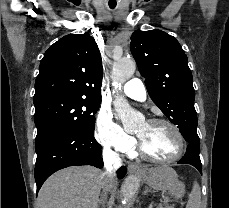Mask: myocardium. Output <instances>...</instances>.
Masks as SVG:
<instances>
[{
    "label": "myocardium",
    "mask_w": 229,
    "mask_h": 208,
    "mask_svg": "<svg viewBox=\"0 0 229 208\" xmlns=\"http://www.w3.org/2000/svg\"><path fill=\"white\" fill-rule=\"evenodd\" d=\"M146 123H148V124H163V125H167V126L171 127L172 129H174V130H170V135H173V142L176 143V147H183V149L179 154H177L174 157H171L170 160H159L158 157H150L149 156L150 152L145 151V147H144L145 141L138 136L139 142H137V147H140V148L137 149V152L143 153L145 156L150 158L153 162H157V163H173V162L180 160L189 148V140H188L186 134L182 131V129L178 125H176L175 123H173L169 120H166V119L151 118V119L147 120Z\"/></svg>",
    "instance_id": "1"
}]
</instances>
